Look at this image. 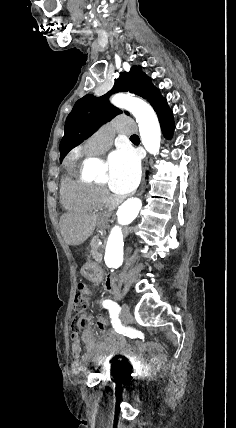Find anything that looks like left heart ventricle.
<instances>
[{"instance_id": "1", "label": "left heart ventricle", "mask_w": 236, "mask_h": 428, "mask_svg": "<svg viewBox=\"0 0 236 428\" xmlns=\"http://www.w3.org/2000/svg\"><path fill=\"white\" fill-rule=\"evenodd\" d=\"M107 180H108V176H107V171H106V173L101 175L100 177H98L96 181L99 184H105L107 182Z\"/></svg>"}]
</instances>
